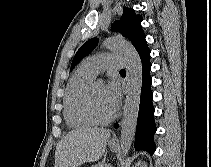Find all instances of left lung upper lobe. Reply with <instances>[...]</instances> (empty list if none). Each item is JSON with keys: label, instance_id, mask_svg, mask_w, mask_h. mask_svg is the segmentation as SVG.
Instances as JSON below:
<instances>
[{"label": "left lung upper lobe", "instance_id": "obj_1", "mask_svg": "<svg viewBox=\"0 0 211 167\" xmlns=\"http://www.w3.org/2000/svg\"><path fill=\"white\" fill-rule=\"evenodd\" d=\"M142 16L136 15L133 9L124 7L122 17L119 21H116L112 24L111 29L113 31H119L125 37H127L133 46L136 48L139 56L147 54L150 52L147 42L145 40V34L143 32L142 26ZM98 43L97 38H92L85 42L75 54L71 70L73 67L86 55L91 53Z\"/></svg>", "mask_w": 211, "mask_h": 167}]
</instances>
